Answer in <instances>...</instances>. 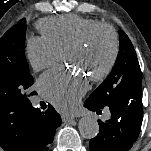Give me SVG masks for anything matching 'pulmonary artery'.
I'll list each match as a JSON object with an SVG mask.
<instances>
[{"label":"pulmonary artery","instance_id":"pulmonary-artery-1","mask_svg":"<svg viewBox=\"0 0 151 151\" xmlns=\"http://www.w3.org/2000/svg\"><path fill=\"white\" fill-rule=\"evenodd\" d=\"M109 116H110V113L107 112V113L105 114V117H106V118H109Z\"/></svg>","mask_w":151,"mask_h":151}]
</instances>
